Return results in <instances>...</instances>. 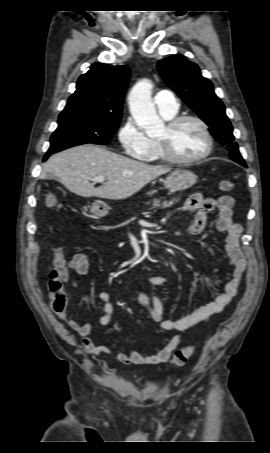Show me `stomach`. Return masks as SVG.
Masks as SVG:
<instances>
[{
	"label": "stomach",
	"instance_id": "obj_1",
	"mask_svg": "<svg viewBox=\"0 0 270 453\" xmlns=\"http://www.w3.org/2000/svg\"><path fill=\"white\" fill-rule=\"evenodd\" d=\"M197 181L196 175L185 169H176L164 180V186L171 192L183 191L192 187ZM109 206L102 201H95L92 204L91 212L96 217H103L109 212Z\"/></svg>",
	"mask_w": 270,
	"mask_h": 453
}]
</instances>
